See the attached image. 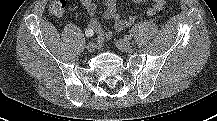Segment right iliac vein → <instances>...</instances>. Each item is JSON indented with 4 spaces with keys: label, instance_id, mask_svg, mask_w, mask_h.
<instances>
[{
    "label": "right iliac vein",
    "instance_id": "1",
    "mask_svg": "<svg viewBox=\"0 0 217 121\" xmlns=\"http://www.w3.org/2000/svg\"><path fill=\"white\" fill-rule=\"evenodd\" d=\"M88 52H93L96 49V44L94 42H89L86 46Z\"/></svg>",
    "mask_w": 217,
    "mask_h": 121
}]
</instances>
